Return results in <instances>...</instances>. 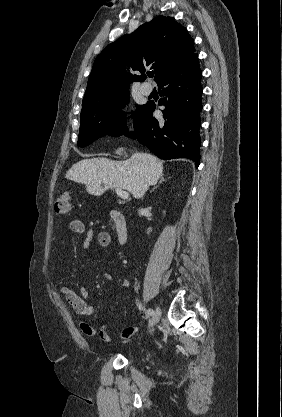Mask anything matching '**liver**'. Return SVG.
I'll return each mask as SVG.
<instances>
[{"label": "liver", "instance_id": "obj_1", "mask_svg": "<svg viewBox=\"0 0 282 417\" xmlns=\"http://www.w3.org/2000/svg\"><path fill=\"white\" fill-rule=\"evenodd\" d=\"M163 174L162 160L148 152H134L128 160L83 158L66 172V178L85 184L89 194L100 196L108 188H125L135 198L145 194Z\"/></svg>", "mask_w": 282, "mask_h": 417}]
</instances>
